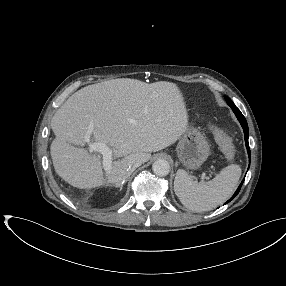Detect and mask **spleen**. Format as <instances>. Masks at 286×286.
Returning a JSON list of instances; mask_svg holds the SVG:
<instances>
[{
  "label": "spleen",
  "instance_id": "1",
  "mask_svg": "<svg viewBox=\"0 0 286 286\" xmlns=\"http://www.w3.org/2000/svg\"><path fill=\"white\" fill-rule=\"evenodd\" d=\"M241 177L239 165L223 168L208 182L193 181L183 169L176 173L174 191L181 203L196 212L208 211L224 203L233 194Z\"/></svg>",
  "mask_w": 286,
  "mask_h": 286
}]
</instances>
